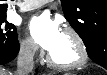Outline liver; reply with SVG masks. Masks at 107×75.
Instances as JSON below:
<instances>
[{
  "label": "liver",
  "mask_w": 107,
  "mask_h": 75,
  "mask_svg": "<svg viewBox=\"0 0 107 75\" xmlns=\"http://www.w3.org/2000/svg\"><path fill=\"white\" fill-rule=\"evenodd\" d=\"M8 72L6 70H4L3 68H1L0 70V75H8Z\"/></svg>",
  "instance_id": "obj_1"
}]
</instances>
